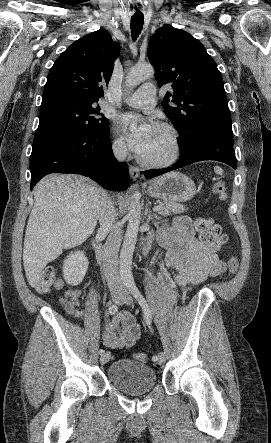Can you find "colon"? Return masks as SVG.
I'll return each instance as SVG.
<instances>
[{
	"instance_id": "obj_1",
	"label": "colon",
	"mask_w": 271,
	"mask_h": 443,
	"mask_svg": "<svg viewBox=\"0 0 271 443\" xmlns=\"http://www.w3.org/2000/svg\"><path fill=\"white\" fill-rule=\"evenodd\" d=\"M214 194L220 200L227 199V187L223 181H218L213 187ZM194 228L199 235L200 241L211 251L217 252L226 242V235L222 231L221 227L214 223L210 218L199 217L194 222ZM238 269V260L234 257L228 260V271L231 275L235 274ZM60 281H56V273L53 267L45 268L40 276V279L36 285L37 290L40 293H47L55 287L61 286ZM134 358L140 362H147L148 356L145 353H136Z\"/></svg>"
}]
</instances>
